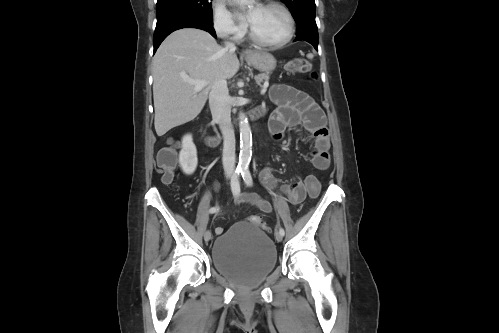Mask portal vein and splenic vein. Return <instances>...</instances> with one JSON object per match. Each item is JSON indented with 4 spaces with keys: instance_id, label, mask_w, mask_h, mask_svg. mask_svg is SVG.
<instances>
[{
    "instance_id": "portal-vein-and-splenic-vein-1",
    "label": "portal vein and splenic vein",
    "mask_w": 499,
    "mask_h": 333,
    "mask_svg": "<svg viewBox=\"0 0 499 333\" xmlns=\"http://www.w3.org/2000/svg\"><path fill=\"white\" fill-rule=\"evenodd\" d=\"M187 83L194 85L195 91H201L204 87H206L207 82L204 80H193V79H185ZM268 87V82H266L263 86L262 93H265Z\"/></svg>"
}]
</instances>
